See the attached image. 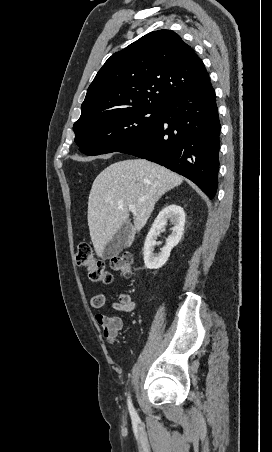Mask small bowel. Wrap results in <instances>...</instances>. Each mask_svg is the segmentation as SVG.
Wrapping results in <instances>:
<instances>
[{"label": "small bowel", "mask_w": 272, "mask_h": 452, "mask_svg": "<svg viewBox=\"0 0 272 452\" xmlns=\"http://www.w3.org/2000/svg\"><path fill=\"white\" fill-rule=\"evenodd\" d=\"M115 300L110 303L113 310L119 312L130 313L136 308V302L128 293L116 294ZM107 302V296L103 293L96 294L91 299V306L94 309L102 308ZM96 323L102 327L104 336L107 341L113 342L116 340L121 328L122 319L118 316H107L101 313L95 315Z\"/></svg>", "instance_id": "obj_1"}]
</instances>
